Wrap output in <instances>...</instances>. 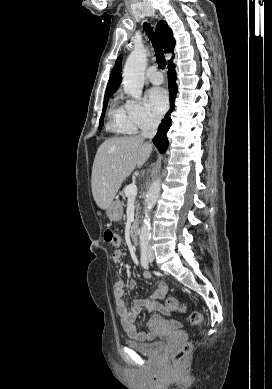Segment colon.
Masks as SVG:
<instances>
[{"label":"colon","mask_w":272,"mask_h":389,"mask_svg":"<svg viewBox=\"0 0 272 389\" xmlns=\"http://www.w3.org/2000/svg\"><path fill=\"white\" fill-rule=\"evenodd\" d=\"M104 240L114 246L119 247L121 244V237L111 229H106L103 234ZM185 307L173 297H169L165 301V312L166 314L172 313H181L184 312ZM189 322L193 326H201L203 324V315L199 312H192L188 317ZM192 350V345L190 343H184L180 348L173 351L170 355V360L173 365L180 366L183 364L189 357Z\"/></svg>","instance_id":"colon-1"}]
</instances>
